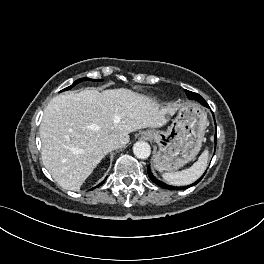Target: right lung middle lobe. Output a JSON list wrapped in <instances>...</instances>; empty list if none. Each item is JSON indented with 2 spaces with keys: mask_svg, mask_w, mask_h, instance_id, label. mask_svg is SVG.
<instances>
[{
  "mask_svg": "<svg viewBox=\"0 0 264 264\" xmlns=\"http://www.w3.org/2000/svg\"><path fill=\"white\" fill-rule=\"evenodd\" d=\"M86 80H89V78H81V79H78V80H76L71 86H69V87L63 89L62 91L69 90V89H71L72 87H74L76 84H78V83H80V82H82V81H86ZM91 80H93V79H91ZM93 81H101V80H93ZM62 91H61V92H62Z\"/></svg>",
  "mask_w": 264,
  "mask_h": 264,
  "instance_id": "dd1d6c3e",
  "label": "right lung middle lobe"
}]
</instances>
